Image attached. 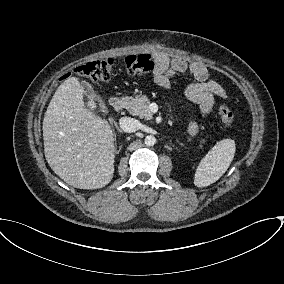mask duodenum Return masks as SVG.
Returning <instances> with one entry per match:
<instances>
[{
	"label": "duodenum",
	"instance_id": "1",
	"mask_svg": "<svg viewBox=\"0 0 284 284\" xmlns=\"http://www.w3.org/2000/svg\"><path fill=\"white\" fill-rule=\"evenodd\" d=\"M110 107L115 111H120L123 108V100L118 96L111 97Z\"/></svg>",
	"mask_w": 284,
	"mask_h": 284
}]
</instances>
